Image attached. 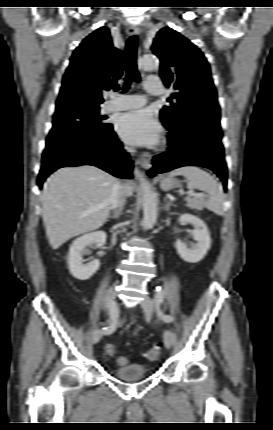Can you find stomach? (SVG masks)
Here are the masks:
<instances>
[{
	"label": "stomach",
	"mask_w": 273,
	"mask_h": 430,
	"mask_svg": "<svg viewBox=\"0 0 273 430\" xmlns=\"http://www.w3.org/2000/svg\"><path fill=\"white\" fill-rule=\"evenodd\" d=\"M160 186L163 190H170L179 186L178 180L171 177H161Z\"/></svg>",
	"instance_id": "obj_1"
}]
</instances>
